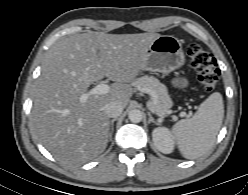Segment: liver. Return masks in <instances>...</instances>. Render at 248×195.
Segmentation results:
<instances>
[{"mask_svg":"<svg viewBox=\"0 0 248 195\" xmlns=\"http://www.w3.org/2000/svg\"><path fill=\"white\" fill-rule=\"evenodd\" d=\"M158 33L87 32L59 40L47 52L34 91L32 128L61 163H84L101 154L109 139L105 106H127L131 83L145 67L147 50ZM114 81L107 94L80 97L92 82Z\"/></svg>","mask_w":248,"mask_h":195,"instance_id":"6515ba94","label":"liver"}]
</instances>
